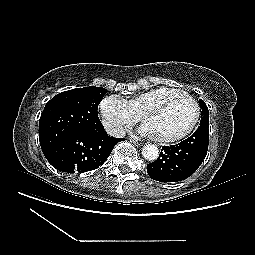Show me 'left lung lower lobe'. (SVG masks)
I'll return each instance as SVG.
<instances>
[{
    "mask_svg": "<svg viewBox=\"0 0 255 255\" xmlns=\"http://www.w3.org/2000/svg\"><path fill=\"white\" fill-rule=\"evenodd\" d=\"M209 123L199 125L184 141L164 146L158 159L147 164L148 175L156 181L177 182L191 176L201 165L208 150Z\"/></svg>",
    "mask_w": 255,
    "mask_h": 255,
    "instance_id": "1",
    "label": "left lung lower lobe"
}]
</instances>
